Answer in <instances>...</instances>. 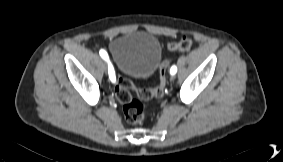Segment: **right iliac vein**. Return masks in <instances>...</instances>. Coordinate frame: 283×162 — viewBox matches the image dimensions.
Wrapping results in <instances>:
<instances>
[{
	"label": "right iliac vein",
	"instance_id": "63e3f726",
	"mask_svg": "<svg viewBox=\"0 0 283 162\" xmlns=\"http://www.w3.org/2000/svg\"><path fill=\"white\" fill-rule=\"evenodd\" d=\"M103 69H104L105 72H107V65H106V63L103 64Z\"/></svg>",
	"mask_w": 283,
	"mask_h": 162
}]
</instances>
